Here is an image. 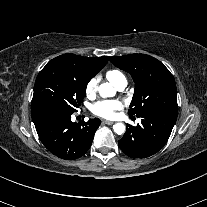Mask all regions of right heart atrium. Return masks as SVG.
Listing matches in <instances>:
<instances>
[{"label":"right heart atrium","mask_w":207,"mask_h":207,"mask_svg":"<svg viewBox=\"0 0 207 207\" xmlns=\"http://www.w3.org/2000/svg\"><path fill=\"white\" fill-rule=\"evenodd\" d=\"M96 90H97V79L92 78L87 82L85 86V93L87 96H92L95 94Z\"/></svg>","instance_id":"obj_1"}]
</instances>
